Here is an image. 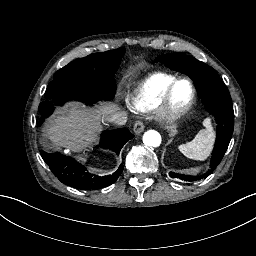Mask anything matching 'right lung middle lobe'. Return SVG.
I'll return each instance as SVG.
<instances>
[{
  "label": "right lung middle lobe",
  "instance_id": "1",
  "mask_svg": "<svg viewBox=\"0 0 256 256\" xmlns=\"http://www.w3.org/2000/svg\"><path fill=\"white\" fill-rule=\"evenodd\" d=\"M124 48L93 53L74 60L54 74L45 99L39 105L42 116L67 100L95 102L110 100L115 93L114 74L118 69Z\"/></svg>",
  "mask_w": 256,
  "mask_h": 256
}]
</instances>
